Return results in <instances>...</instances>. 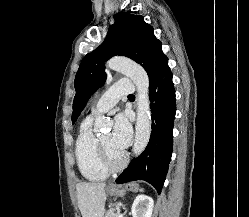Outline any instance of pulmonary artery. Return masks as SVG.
Here are the masks:
<instances>
[{
	"instance_id": "obj_1",
	"label": "pulmonary artery",
	"mask_w": 249,
	"mask_h": 217,
	"mask_svg": "<svg viewBox=\"0 0 249 217\" xmlns=\"http://www.w3.org/2000/svg\"><path fill=\"white\" fill-rule=\"evenodd\" d=\"M135 92L136 87L129 79L115 83L98 99L92 108L91 115L109 111L116 105L119 99L127 97Z\"/></svg>"
}]
</instances>
